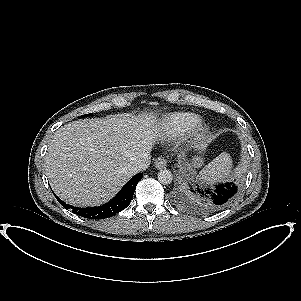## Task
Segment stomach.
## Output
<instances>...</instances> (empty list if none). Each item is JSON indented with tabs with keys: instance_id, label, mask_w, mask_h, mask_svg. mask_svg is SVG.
<instances>
[{
	"instance_id": "obj_1",
	"label": "stomach",
	"mask_w": 301,
	"mask_h": 301,
	"mask_svg": "<svg viewBox=\"0 0 301 301\" xmlns=\"http://www.w3.org/2000/svg\"><path fill=\"white\" fill-rule=\"evenodd\" d=\"M200 150L203 151L204 148L201 147ZM201 163H202V158H201V157H195V158L193 159V164H194L195 166H200Z\"/></svg>"
}]
</instances>
